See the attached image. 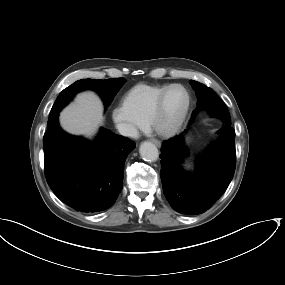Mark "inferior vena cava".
Returning <instances> with one entry per match:
<instances>
[{"instance_id": "inferior-vena-cava-1", "label": "inferior vena cava", "mask_w": 285, "mask_h": 285, "mask_svg": "<svg viewBox=\"0 0 285 285\" xmlns=\"http://www.w3.org/2000/svg\"><path fill=\"white\" fill-rule=\"evenodd\" d=\"M117 129H118L119 133L123 136L136 138L139 135L136 127H134L131 124L120 123L117 125Z\"/></svg>"}]
</instances>
